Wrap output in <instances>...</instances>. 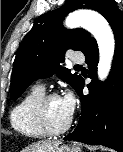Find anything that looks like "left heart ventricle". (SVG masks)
Returning <instances> with one entry per match:
<instances>
[{"label":"left heart ventricle","instance_id":"obj_1","mask_svg":"<svg viewBox=\"0 0 123 152\" xmlns=\"http://www.w3.org/2000/svg\"><path fill=\"white\" fill-rule=\"evenodd\" d=\"M47 113L50 124L55 128L65 125L70 118L64 108L61 98L53 99L49 102Z\"/></svg>","mask_w":123,"mask_h":152}]
</instances>
